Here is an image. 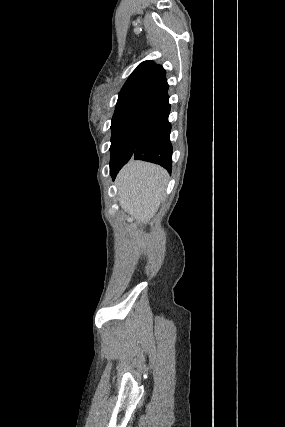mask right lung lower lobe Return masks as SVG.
<instances>
[{
    "label": "right lung lower lobe",
    "instance_id": "1",
    "mask_svg": "<svg viewBox=\"0 0 285 427\" xmlns=\"http://www.w3.org/2000/svg\"><path fill=\"white\" fill-rule=\"evenodd\" d=\"M170 105L168 99L146 113L142 126V143L135 151L133 159L156 163L171 172L172 145L170 143L171 124L168 121ZM122 168L110 170L113 179Z\"/></svg>",
    "mask_w": 285,
    "mask_h": 427
}]
</instances>
